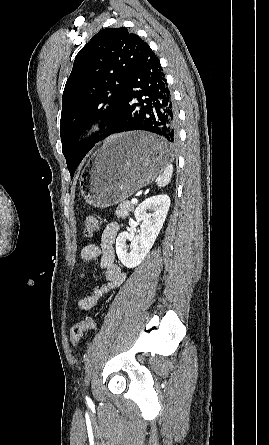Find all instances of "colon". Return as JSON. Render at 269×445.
Returning <instances> with one entry per match:
<instances>
[{
    "label": "colon",
    "instance_id": "obj_1",
    "mask_svg": "<svg viewBox=\"0 0 269 445\" xmlns=\"http://www.w3.org/2000/svg\"><path fill=\"white\" fill-rule=\"evenodd\" d=\"M99 230V220L96 216H88L84 222L83 234L85 238L92 237ZM96 327V322L91 317H86L71 328L70 340L72 345L77 346L83 334Z\"/></svg>",
    "mask_w": 269,
    "mask_h": 445
}]
</instances>
